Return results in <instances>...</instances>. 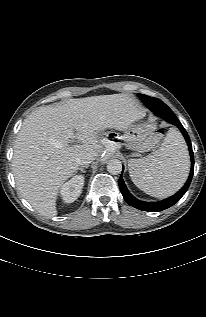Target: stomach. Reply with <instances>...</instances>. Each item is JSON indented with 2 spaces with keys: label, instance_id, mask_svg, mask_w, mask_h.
Masks as SVG:
<instances>
[{
  "label": "stomach",
  "instance_id": "1",
  "mask_svg": "<svg viewBox=\"0 0 206 317\" xmlns=\"http://www.w3.org/2000/svg\"><path fill=\"white\" fill-rule=\"evenodd\" d=\"M152 134L147 123L131 124L123 136L125 146L138 152L149 151L153 148Z\"/></svg>",
  "mask_w": 206,
  "mask_h": 317
}]
</instances>
